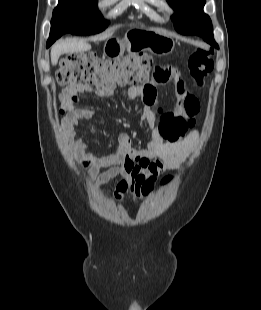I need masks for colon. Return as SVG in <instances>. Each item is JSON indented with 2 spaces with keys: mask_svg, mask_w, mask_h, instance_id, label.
<instances>
[{
  "mask_svg": "<svg viewBox=\"0 0 261 310\" xmlns=\"http://www.w3.org/2000/svg\"><path fill=\"white\" fill-rule=\"evenodd\" d=\"M212 51L197 48L189 56L188 69L198 86L213 71ZM151 58L146 54H128L117 60L103 59L92 53H72L64 57L57 72V80L63 86L85 85L97 90L146 83ZM71 106L64 99L61 112Z\"/></svg>",
  "mask_w": 261,
  "mask_h": 310,
  "instance_id": "5ec220e1",
  "label": "colon"
}]
</instances>
